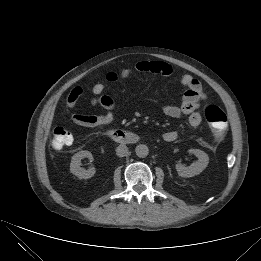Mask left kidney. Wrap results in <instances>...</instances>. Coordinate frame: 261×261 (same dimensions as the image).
<instances>
[{"label":"left kidney","instance_id":"left-kidney-1","mask_svg":"<svg viewBox=\"0 0 261 261\" xmlns=\"http://www.w3.org/2000/svg\"><path fill=\"white\" fill-rule=\"evenodd\" d=\"M189 153L194 154L198 158V161L187 167L181 163L176 164L178 175L185 178L200 174L209 163V157L204 151L199 149H190Z\"/></svg>","mask_w":261,"mask_h":261}]
</instances>
